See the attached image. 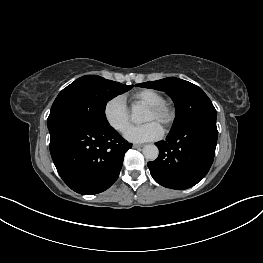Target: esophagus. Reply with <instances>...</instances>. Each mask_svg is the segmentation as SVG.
<instances>
[{"label":"esophagus","instance_id":"1","mask_svg":"<svg viewBox=\"0 0 263 263\" xmlns=\"http://www.w3.org/2000/svg\"><path fill=\"white\" fill-rule=\"evenodd\" d=\"M132 147L133 148H141V147H143V145L142 144H133Z\"/></svg>","mask_w":263,"mask_h":263}]
</instances>
